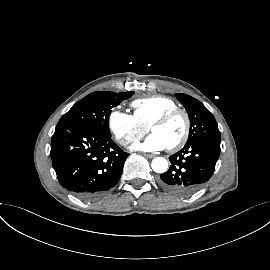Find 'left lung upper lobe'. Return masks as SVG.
<instances>
[{
  "instance_id": "5c2ea615",
  "label": "left lung upper lobe",
  "mask_w": 270,
  "mask_h": 270,
  "mask_svg": "<svg viewBox=\"0 0 270 270\" xmlns=\"http://www.w3.org/2000/svg\"><path fill=\"white\" fill-rule=\"evenodd\" d=\"M175 96L185 107L190 119L191 125L187 143L204 138L221 139L213 114L200 101L182 93L175 94Z\"/></svg>"
}]
</instances>
